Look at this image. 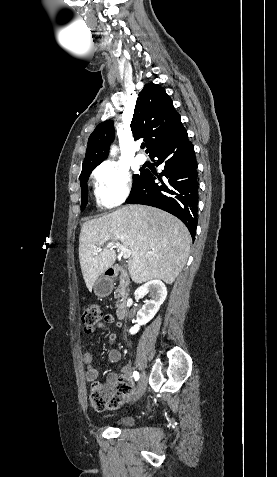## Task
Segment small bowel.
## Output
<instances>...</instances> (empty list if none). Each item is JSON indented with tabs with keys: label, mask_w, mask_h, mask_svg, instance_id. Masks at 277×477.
<instances>
[{
	"label": "small bowel",
	"mask_w": 277,
	"mask_h": 477,
	"mask_svg": "<svg viewBox=\"0 0 277 477\" xmlns=\"http://www.w3.org/2000/svg\"><path fill=\"white\" fill-rule=\"evenodd\" d=\"M104 321L106 323H110V324L114 323L117 328L122 327V323L119 322V321H116L115 317L112 314L105 315ZM97 328L103 329V328H105V324L104 323H99L97 325ZM117 339H118V337H117V334H115V333H109L108 336H107V340L110 344L116 343ZM107 358H108L109 362L117 363L121 360L122 353L118 349H111L108 353ZM83 362L86 366L85 379L88 382L96 381L98 376H99V369H98L97 366L94 365L93 356L90 352L84 353ZM128 374H129V369L127 367H125L122 370V376L120 378H118L116 374L110 373L108 375V382L109 383H116V382H119V381L128 382L127 381Z\"/></svg>",
	"instance_id": "1"
}]
</instances>
